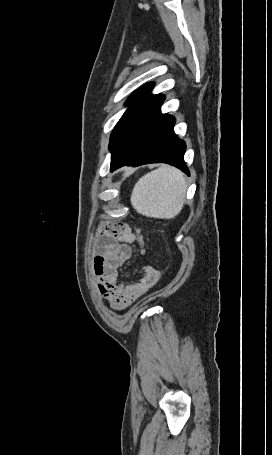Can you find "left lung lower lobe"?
<instances>
[{
  "mask_svg": "<svg viewBox=\"0 0 272 455\" xmlns=\"http://www.w3.org/2000/svg\"><path fill=\"white\" fill-rule=\"evenodd\" d=\"M163 101L164 96L157 95L123 127L110 149L111 172L123 165L167 163L189 175L185 142L173 131L175 118L160 112Z\"/></svg>",
  "mask_w": 272,
  "mask_h": 455,
  "instance_id": "left-lung-lower-lobe-1",
  "label": "left lung lower lobe"
}]
</instances>
